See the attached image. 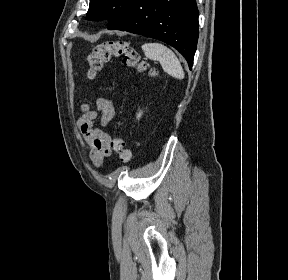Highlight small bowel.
Listing matches in <instances>:
<instances>
[{"label":"small bowel","instance_id":"1","mask_svg":"<svg viewBox=\"0 0 288 280\" xmlns=\"http://www.w3.org/2000/svg\"><path fill=\"white\" fill-rule=\"evenodd\" d=\"M97 111L88 105L82 108V116L78 121V129L82 134L88 148L89 158L96 167H102L104 159L111 154V137L108 133L95 126H107L115 116V106L111 99L98 98Z\"/></svg>","mask_w":288,"mask_h":280}]
</instances>
